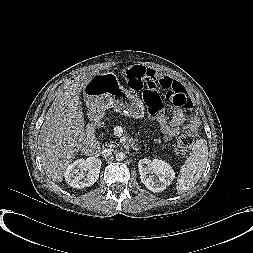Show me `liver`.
Returning <instances> with one entry per match:
<instances>
[{"label":"liver","instance_id":"6515ba94","mask_svg":"<svg viewBox=\"0 0 253 253\" xmlns=\"http://www.w3.org/2000/svg\"><path fill=\"white\" fill-rule=\"evenodd\" d=\"M97 74L83 73L58 87L41 127L38 137L40 161L46 174L59 182L85 141L79 95Z\"/></svg>","mask_w":253,"mask_h":253}]
</instances>
